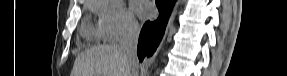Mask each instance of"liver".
<instances>
[{"instance_id":"obj_1","label":"liver","mask_w":287,"mask_h":76,"mask_svg":"<svg viewBox=\"0 0 287 76\" xmlns=\"http://www.w3.org/2000/svg\"><path fill=\"white\" fill-rule=\"evenodd\" d=\"M73 76H131V65L119 45L95 47L77 56Z\"/></svg>"}]
</instances>
